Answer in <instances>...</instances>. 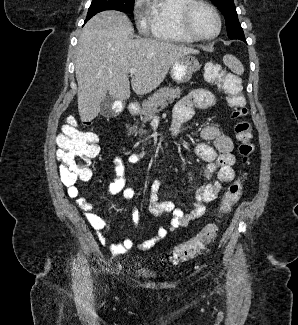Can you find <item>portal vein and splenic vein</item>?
I'll use <instances>...</instances> for the list:
<instances>
[{"instance_id": "18ae733b", "label": "portal vein and splenic vein", "mask_w": 298, "mask_h": 325, "mask_svg": "<svg viewBox=\"0 0 298 325\" xmlns=\"http://www.w3.org/2000/svg\"><path fill=\"white\" fill-rule=\"evenodd\" d=\"M136 70H137V68H130L129 72H130V74H135Z\"/></svg>"}]
</instances>
